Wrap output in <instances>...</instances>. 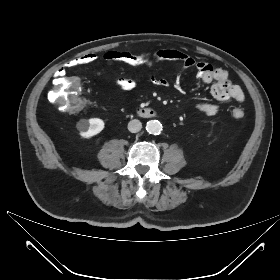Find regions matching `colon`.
<instances>
[{
    "instance_id": "1",
    "label": "colon",
    "mask_w": 280,
    "mask_h": 280,
    "mask_svg": "<svg viewBox=\"0 0 280 280\" xmlns=\"http://www.w3.org/2000/svg\"><path fill=\"white\" fill-rule=\"evenodd\" d=\"M142 66L146 70H152L156 66V61L152 57H146L142 61ZM79 81L75 77H67L65 73L57 74L56 81L53 88L48 93V101L57 103V107L61 111H67L70 115H75L87 110L91 107L92 102L89 98L84 97L81 100L77 95L66 96L65 90L68 88L76 87ZM235 115L239 118L243 117V110L236 111Z\"/></svg>"
}]
</instances>
